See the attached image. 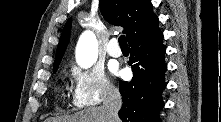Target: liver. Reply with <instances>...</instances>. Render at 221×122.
<instances>
[{"label": "liver", "mask_w": 221, "mask_h": 122, "mask_svg": "<svg viewBox=\"0 0 221 122\" xmlns=\"http://www.w3.org/2000/svg\"><path fill=\"white\" fill-rule=\"evenodd\" d=\"M46 122H108L103 107H90L72 116L50 118Z\"/></svg>", "instance_id": "liver-1"}]
</instances>
